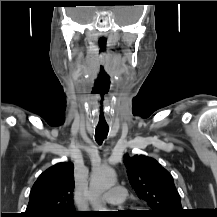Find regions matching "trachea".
<instances>
[{
  "mask_svg": "<svg viewBox=\"0 0 217 217\" xmlns=\"http://www.w3.org/2000/svg\"><path fill=\"white\" fill-rule=\"evenodd\" d=\"M108 132H109L108 127H100V126L96 127L95 140L99 145H101L104 139L107 137Z\"/></svg>",
  "mask_w": 217,
  "mask_h": 217,
  "instance_id": "1",
  "label": "trachea"
}]
</instances>
